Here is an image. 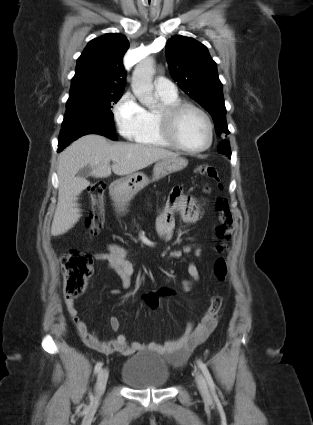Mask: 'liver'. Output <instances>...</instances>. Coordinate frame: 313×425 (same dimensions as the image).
<instances>
[{
	"instance_id": "1",
	"label": "liver",
	"mask_w": 313,
	"mask_h": 425,
	"mask_svg": "<svg viewBox=\"0 0 313 425\" xmlns=\"http://www.w3.org/2000/svg\"><path fill=\"white\" fill-rule=\"evenodd\" d=\"M172 151L142 144L109 143L105 137L88 134L74 141L58 157V203L51 226V235L59 236L70 230L80 219L77 196L89 186L85 178L76 174L85 166L96 178H106L113 172L118 176L148 167L163 159L178 157ZM117 159L110 166V161Z\"/></svg>"
}]
</instances>
